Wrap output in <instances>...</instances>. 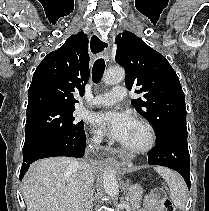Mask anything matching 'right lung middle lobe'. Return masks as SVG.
<instances>
[{
  "mask_svg": "<svg viewBox=\"0 0 209 211\" xmlns=\"http://www.w3.org/2000/svg\"><path fill=\"white\" fill-rule=\"evenodd\" d=\"M74 110L45 108L27 112L23 155L52 140L81 135L84 123L75 120Z\"/></svg>",
  "mask_w": 209,
  "mask_h": 211,
  "instance_id": "1",
  "label": "right lung middle lobe"
}]
</instances>
